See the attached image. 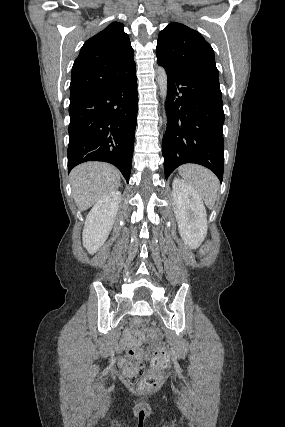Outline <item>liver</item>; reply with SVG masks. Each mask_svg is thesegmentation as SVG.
Wrapping results in <instances>:
<instances>
[{
  "instance_id": "obj_1",
  "label": "liver",
  "mask_w": 285,
  "mask_h": 427,
  "mask_svg": "<svg viewBox=\"0 0 285 427\" xmlns=\"http://www.w3.org/2000/svg\"><path fill=\"white\" fill-rule=\"evenodd\" d=\"M120 181L119 170L103 162H86L70 173L72 194L81 211L89 209L102 197L114 192Z\"/></svg>"
}]
</instances>
